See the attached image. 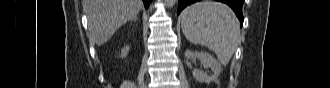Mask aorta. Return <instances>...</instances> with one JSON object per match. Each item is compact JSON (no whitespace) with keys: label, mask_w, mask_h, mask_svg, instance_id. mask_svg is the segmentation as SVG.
Masks as SVG:
<instances>
[{"label":"aorta","mask_w":330,"mask_h":88,"mask_svg":"<svg viewBox=\"0 0 330 88\" xmlns=\"http://www.w3.org/2000/svg\"><path fill=\"white\" fill-rule=\"evenodd\" d=\"M165 2H166V6L171 8L176 3V0H165Z\"/></svg>","instance_id":"1"}]
</instances>
